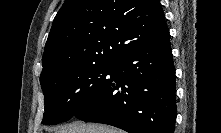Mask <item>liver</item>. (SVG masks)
I'll use <instances>...</instances> for the list:
<instances>
[{"label": "liver", "instance_id": "liver-1", "mask_svg": "<svg viewBox=\"0 0 221 133\" xmlns=\"http://www.w3.org/2000/svg\"><path fill=\"white\" fill-rule=\"evenodd\" d=\"M54 133H123L119 129L101 124H84L79 121L61 126Z\"/></svg>", "mask_w": 221, "mask_h": 133}]
</instances>
